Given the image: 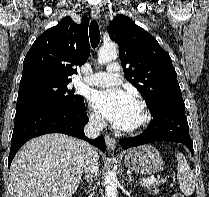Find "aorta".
<instances>
[{"instance_id":"1","label":"aorta","mask_w":209,"mask_h":197,"mask_svg":"<svg viewBox=\"0 0 209 197\" xmlns=\"http://www.w3.org/2000/svg\"><path fill=\"white\" fill-rule=\"evenodd\" d=\"M118 51H117V45L116 43H108L104 44L99 52H98V63L99 64H105L117 57ZM106 187V196L107 197H117V185L118 180L116 176V172L109 171L107 175L105 176L104 181Z\"/></svg>"}]
</instances>
